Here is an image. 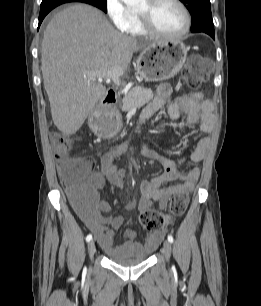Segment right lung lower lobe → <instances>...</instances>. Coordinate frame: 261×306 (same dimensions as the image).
<instances>
[{"label": "right lung lower lobe", "mask_w": 261, "mask_h": 306, "mask_svg": "<svg viewBox=\"0 0 261 306\" xmlns=\"http://www.w3.org/2000/svg\"><path fill=\"white\" fill-rule=\"evenodd\" d=\"M58 5H60V4L48 5V6H45V7H41V8H40L39 26L41 25V23H42L43 19L45 18V16H46L52 9H54L55 7H57ZM39 26H38V29H39Z\"/></svg>", "instance_id": "obj_1"}]
</instances>
